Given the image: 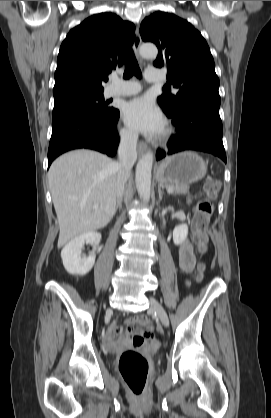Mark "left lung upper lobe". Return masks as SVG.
<instances>
[{
  "instance_id": "left-lung-upper-lobe-1",
  "label": "left lung upper lobe",
  "mask_w": 271,
  "mask_h": 418,
  "mask_svg": "<svg viewBox=\"0 0 271 418\" xmlns=\"http://www.w3.org/2000/svg\"><path fill=\"white\" fill-rule=\"evenodd\" d=\"M144 42H153L159 50L154 63L167 68V79L179 91L157 98L168 115L187 104L220 107L219 79L210 49L189 22L172 13L155 12L140 26Z\"/></svg>"
}]
</instances>
